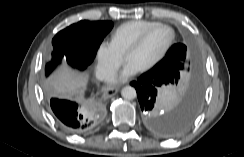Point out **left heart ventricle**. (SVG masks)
<instances>
[{"instance_id":"obj_1","label":"left heart ventricle","mask_w":244,"mask_h":157,"mask_svg":"<svg viewBox=\"0 0 244 157\" xmlns=\"http://www.w3.org/2000/svg\"><path fill=\"white\" fill-rule=\"evenodd\" d=\"M171 37L167 28L153 30L142 45L127 56V61L134 63L139 69L152 62L165 48Z\"/></svg>"}]
</instances>
